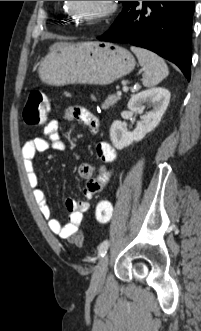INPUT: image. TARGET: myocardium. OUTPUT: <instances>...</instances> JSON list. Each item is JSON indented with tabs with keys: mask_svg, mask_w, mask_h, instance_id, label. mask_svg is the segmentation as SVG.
I'll return each mask as SVG.
<instances>
[{
	"mask_svg": "<svg viewBox=\"0 0 201 331\" xmlns=\"http://www.w3.org/2000/svg\"><path fill=\"white\" fill-rule=\"evenodd\" d=\"M67 4H68L69 11L73 12L74 17L82 19L86 22H101V21L109 18L110 16H112L117 9V1H106L105 7L103 8V10L101 12H99L93 16H90V17H85L74 11L72 1H67Z\"/></svg>",
	"mask_w": 201,
	"mask_h": 331,
	"instance_id": "f54148a6",
	"label": "myocardium"
}]
</instances>
